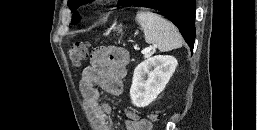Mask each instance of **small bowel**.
I'll use <instances>...</instances> for the list:
<instances>
[{
    "instance_id": "obj_1",
    "label": "small bowel",
    "mask_w": 257,
    "mask_h": 130,
    "mask_svg": "<svg viewBox=\"0 0 257 130\" xmlns=\"http://www.w3.org/2000/svg\"><path fill=\"white\" fill-rule=\"evenodd\" d=\"M128 53L117 47H101L90 56V64L82 70L80 91L97 130H113L111 107L102 103L100 91L119 96L123 91V79L127 74ZM126 130H150L151 124L132 110L125 111Z\"/></svg>"
}]
</instances>
